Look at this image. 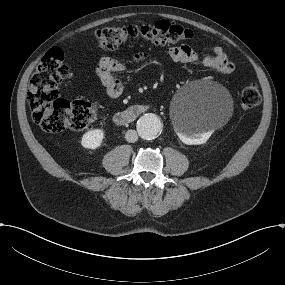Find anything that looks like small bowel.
<instances>
[{"label": "small bowel", "instance_id": "1", "mask_svg": "<svg viewBox=\"0 0 285 285\" xmlns=\"http://www.w3.org/2000/svg\"><path fill=\"white\" fill-rule=\"evenodd\" d=\"M163 54L174 62L198 64L205 69L215 71L222 75H229L234 70L233 63L228 59L225 49L222 46H214L213 54L200 57L190 46L180 45L168 47ZM151 55L147 52L137 53L133 61L137 64L147 61ZM125 70V65L118 59L111 56H102L97 64V74L105 88L109 98H117L123 92V84L119 74Z\"/></svg>", "mask_w": 285, "mask_h": 285}]
</instances>
